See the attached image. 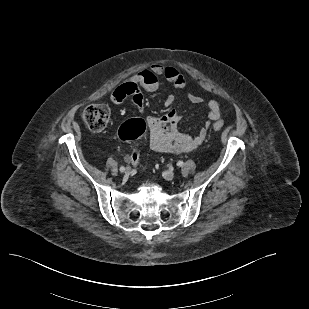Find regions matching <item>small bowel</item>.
Instances as JSON below:
<instances>
[{"label": "small bowel", "instance_id": "1", "mask_svg": "<svg viewBox=\"0 0 309 309\" xmlns=\"http://www.w3.org/2000/svg\"><path fill=\"white\" fill-rule=\"evenodd\" d=\"M164 78L177 89L186 85L185 77L174 67L159 64L141 70L118 85L111 94V101L115 104L131 98L139 111L144 109V98L141 89L155 92L160 87V80ZM185 97L196 105H202L208 110V120L195 135L182 132L179 127L180 115L175 109H169L161 116H149L146 124L149 130L150 147L161 153L182 154L199 147L205 140L212 122H217L221 116L220 103L216 100L205 101L202 97L187 92ZM174 98L169 96L165 105L170 107ZM127 160L131 161L130 156Z\"/></svg>", "mask_w": 309, "mask_h": 309}]
</instances>
